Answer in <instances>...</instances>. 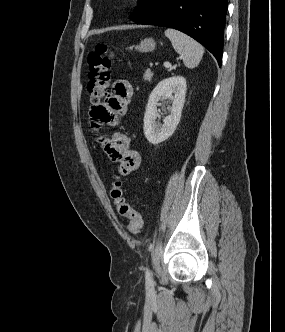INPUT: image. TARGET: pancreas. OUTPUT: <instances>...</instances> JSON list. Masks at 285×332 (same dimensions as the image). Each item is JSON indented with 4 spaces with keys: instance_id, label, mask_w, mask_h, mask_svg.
I'll list each match as a JSON object with an SVG mask.
<instances>
[{
    "instance_id": "cf45deb5",
    "label": "pancreas",
    "mask_w": 285,
    "mask_h": 332,
    "mask_svg": "<svg viewBox=\"0 0 285 332\" xmlns=\"http://www.w3.org/2000/svg\"><path fill=\"white\" fill-rule=\"evenodd\" d=\"M152 76H153V73L150 70H146L143 75V78L145 81H151Z\"/></svg>"
}]
</instances>
